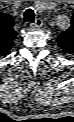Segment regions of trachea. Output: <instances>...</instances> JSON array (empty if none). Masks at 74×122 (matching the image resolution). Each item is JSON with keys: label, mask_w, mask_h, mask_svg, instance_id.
Segmentation results:
<instances>
[{"label": "trachea", "mask_w": 74, "mask_h": 122, "mask_svg": "<svg viewBox=\"0 0 74 122\" xmlns=\"http://www.w3.org/2000/svg\"><path fill=\"white\" fill-rule=\"evenodd\" d=\"M35 19V13L34 10H32L31 8H28L25 12H24V21L25 22H29V23H33Z\"/></svg>", "instance_id": "3493384b"}]
</instances>
